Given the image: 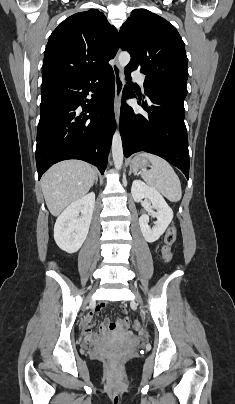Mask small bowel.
I'll return each mask as SVG.
<instances>
[{
	"instance_id": "1",
	"label": "small bowel",
	"mask_w": 235,
	"mask_h": 404,
	"mask_svg": "<svg viewBox=\"0 0 235 404\" xmlns=\"http://www.w3.org/2000/svg\"><path fill=\"white\" fill-rule=\"evenodd\" d=\"M104 309V305L103 304H99L96 307H94L93 309L89 310V312L87 313L86 317H85V334L87 336H93V329H94V325L90 324L88 321L90 320V318L93 316L94 313L96 312H100ZM108 321H106L103 326L101 327V331L102 333H108L111 332L112 330H110V328H108ZM119 328V326H115L113 329Z\"/></svg>"
}]
</instances>
